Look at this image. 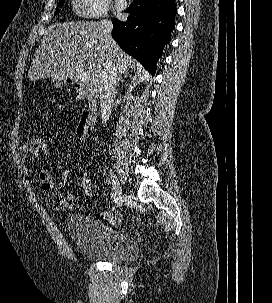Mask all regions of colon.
I'll return each instance as SVG.
<instances>
[{
  "label": "colon",
  "mask_w": 272,
  "mask_h": 303,
  "mask_svg": "<svg viewBox=\"0 0 272 303\" xmlns=\"http://www.w3.org/2000/svg\"><path fill=\"white\" fill-rule=\"evenodd\" d=\"M33 139L32 148L37 157L43 160L45 156L49 153L50 145L48 141L43 136H36ZM41 169L48 170L47 167L42 164ZM81 185L85 195L89 199H93L92 183L87 175L83 173L81 175ZM45 201L47 205L54 211H64L70 209L74 206V201L58 191H51L45 195Z\"/></svg>",
  "instance_id": "obj_1"
}]
</instances>
